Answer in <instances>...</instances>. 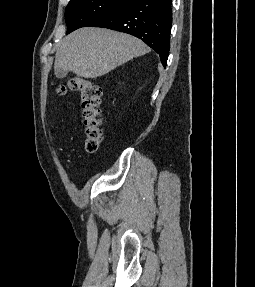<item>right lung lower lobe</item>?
Returning <instances> with one entry per match:
<instances>
[{"instance_id":"right-lung-lower-lobe-1","label":"right lung lower lobe","mask_w":255,"mask_h":287,"mask_svg":"<svg viewBox=\"0 0 255 287\" xmlns=\"http://www.w3.org/2000/svg\"><path fill=\"white\" fill-rule=\"evenodd\" d=\"M172 25L171 0H128L88 26L125 32L143 40L166 66Z\"/></svg>"}]
</instances>
